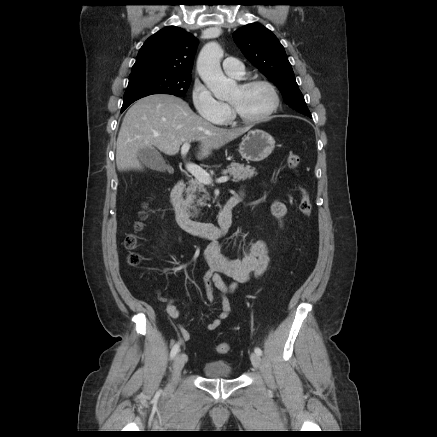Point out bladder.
<instances>
[{"label": "bladder", "mask_w": 437, "mask_h": 437, "mask_svg": "<svg viewBox=\"0 0 437 437\" xmlns=\"http://www.w3.org/2000/svg\"><path fill=\"white\" fill-rule=\"evenodd\" d=\"M204 375L207 378H231L233 376V368L230 364L224 361L208 362L203 367Z\"/></svg>", "instance_id": "1"}]
</instances>
